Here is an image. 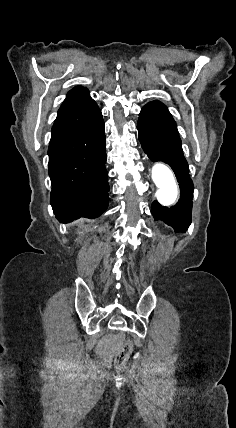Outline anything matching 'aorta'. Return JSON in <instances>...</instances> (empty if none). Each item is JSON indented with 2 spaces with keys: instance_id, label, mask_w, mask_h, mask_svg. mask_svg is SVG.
Segmentation results:
<instances>
[{
  "instance_id": "aorta-1",
  "label": "aorta",
  "mask_w": 236,
  "mask_h": 428,
  "mask_svg": "<svg viewBox=\"0 0 236 428\" xmlns=\"http://www.w3.org/2000/svg\"><path fill=\"white\" fill-rule=\"evenodd\" d=\"M152 179L157 186L156 198L163 206H171L177 199L178 188L171 169L163 164L156 163L152 167Z\"/></svg>"
}]
</instances>
